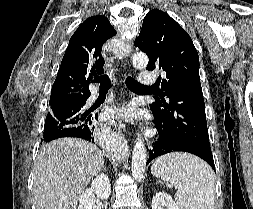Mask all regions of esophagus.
Returning <instances> with one entry per match:
<instances>
[{"instance_id": "34e87169", "label": "esophagus", "mask_w": 253, "mask_h": 209, "mask_svg": "<svg viewBox=\"0 0 253 209\" xmlns=\"http://www.w3.org/2000/svg\"><path fill=\"white\" fill-rule=\"evenodd\" d=\"M127 49H128V53L130 52V46H127ZM106 126L109 128V129H112V130H115L119 133V125L117 122H115L114 120H110Z\"/></svg>"}]
</instances>
